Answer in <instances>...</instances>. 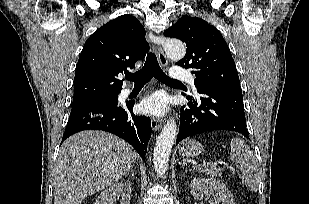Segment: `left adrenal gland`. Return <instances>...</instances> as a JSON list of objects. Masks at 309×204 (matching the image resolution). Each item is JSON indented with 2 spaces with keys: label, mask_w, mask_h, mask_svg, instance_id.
<instances>
[{
  "label": "left adrenal gland",
  "mask_w": 309,
  "mask_h": 204,
  "mask_svg": "<svg viewBox=\"0 0 309 204\" xmlns=\"http://www.w3.org/2000/svg\"><path fill=\"white\" fill-rule=\"evenodd\" d=\"M182 165L185 166V163H182ZM186 172H187V169L184 170V176Z\"/></svg>",
  "instance_id": "obj_1"
}]
</instances>
